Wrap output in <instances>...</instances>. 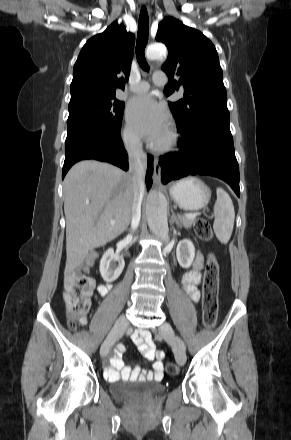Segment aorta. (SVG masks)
I'll list each match as a JSON object with an SVG mask.
<instances>
[{
    "mask_svg": "<svg viewBox=\"0 0 291 440\" xmlns=\"http://www.w3.org/2000/svg\"><path fill=\"white\" fill-rule=\"evenodd\" d=\"M167 57V49L163 44H153L147 48L146 58L157 60ZM146 217L150 230L157 237L168 241L169 228L167 221V202L162 193L155 197L151 196L150 202L146 207Z\"/></svg>",
    "mask_w": 291,
    "mask_h": 440,
    "instance_id": "aorta-1",
    "label": "aorta"
}]
</instances>
